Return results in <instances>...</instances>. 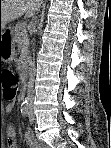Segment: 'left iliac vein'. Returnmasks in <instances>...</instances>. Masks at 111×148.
Segmentation results:
<instances>
[{"mask_svg":"<svg viewBox=\"0 0 111 148\" xmlns=\"http://www.w3.org/2000/svg\"><path fill=\"white\" fill-rule=\"evenodd\" d=\"M28 116H29V121H30V123H33L34 120H35V115H34L33 108H32L31 105H30V107H29Z\"/></svg>","mask_w":111,"mask_h":148,"instance_id":"obj_1","label":"left iliac vein"}]
</instances>
